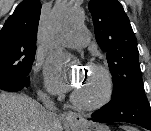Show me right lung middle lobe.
Listing matches in <instances>:
<instances>
[{
    "mask_svg": "<svg viewBox=\"0 0 151 131\" xmlns=\"http://www.w3.org/2000/svg\"><path fill=\"white\" fill-rule=\"evenodd\" d=\"M36 49L21 43H8L0 47V89L20 91L29 81V73Z\"/></svg>",
    "mask_w": 151,
    "mask_h": 131,
    "instance_id": "dd1d6c3e",
    "label": "right lung middle lobe"
}]
</instances>
